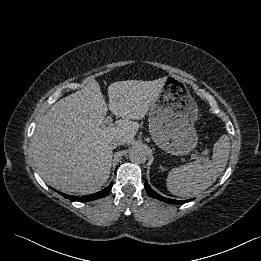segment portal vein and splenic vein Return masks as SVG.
<instances>
[{
	"mask_svg": "<svg viewBox=\"0 0 261 261\" xmlns=\"http://www.w3.org/2000/svg\"><path fill=\"white\" fill-rule=\"evenodd\" d=\"M112 122H113V119L111 118V116L106 117V119H105V124H106V125H110V124H112ZM191 158H192V159L207 160V158L201 157L200 155H197V154H192V155H191Z\"/></svg>",
	"mask_w": 261,
	"mask_h": 261,
	"instance_id": "18ae733b",
	"label": "portal vein and splenic vein"
}]
</instances>
